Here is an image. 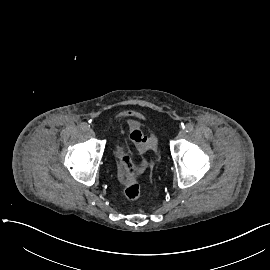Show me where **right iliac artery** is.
<instances>
[{
	"label": "right iliac artery",
	"instance_id": "right-iliac-artery-1",
	"mask_svg": "<svg viewBox=\"0 0 270 270\" xmlns=\"http://www.w3.org/2000/svg\"><path fill=\"white\" fill-rule=\"evenodd\" d=\"M81 128H82V130L87 131V130H89V125L84 122L81 124Z\"/></svg>",
	"mask_w": 270,
	"mask_h": 270
}]
</instances>
